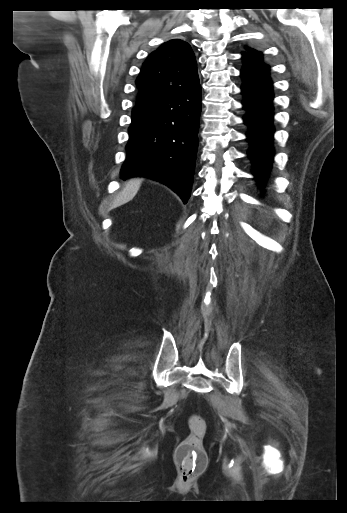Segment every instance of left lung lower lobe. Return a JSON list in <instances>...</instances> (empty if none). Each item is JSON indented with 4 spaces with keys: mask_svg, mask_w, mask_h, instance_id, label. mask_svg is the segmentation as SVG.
<instances>
[{
    "mask_svg": "<svg viewBox=\"0 0 347 513\" xmlns=\"http://www.w3.org/2000/svg\"><path fill=\"white\" fill-rule=\"evenodd\" d=\"M243 58L244 67L241 70L244 81L242 93L245 96L243 105L249 112L244 120L251 127L247 133L251 143L249 156L254 163L256 179L264 184L274 155L271 143L274 133L272 81L269 76V66L263 63L261 57Z\"/></svg>",
    "mask_w": 347,
    "mask_h": 513,
    "instance_id": "0a47b994",
    "label": "left lung lower lobe"
}]
</instances>
